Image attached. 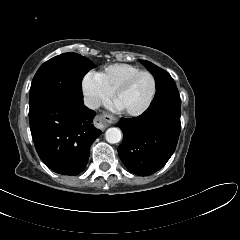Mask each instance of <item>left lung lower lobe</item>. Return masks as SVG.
Here are the masks:
<instances>
[{
  "instance_id": "1",
  "label": "left lung lower lobe",
  "mask_w": 240,
  "mask_h": 240,
  "mask_svg": "<svg viewBox=\"0 0 240 240\" xmlns=\"http://www.w3.org/2000/svg\"><path fill=\"white\" fill-rule=\"evenodd\" d=\"M180 116V102H161L139 117L121 118L124 137L118 154L129 171L147 176L167 163L178 142Z\"/></svg>"
}]
</instances>
